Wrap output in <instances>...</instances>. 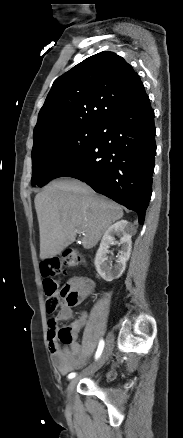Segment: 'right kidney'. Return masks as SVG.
<instances>
[{"mask_svg":"<svg viewBox=\"0 0 183 438\" xmlns=\"http://www.w3.org/2000/svg\"><path fill=\"white\" fill-rule=\"evenodd\" d=\"M135 232V227L127 220H120L110 226L101 240L100 247L95 256V267L98 274L107 282L119 278L126 268L131 249H132V234ZM114 235L120 238L119 255L115 264H112L111 258L108 260L109 245L115 242Z\"/></svg>","mask_w":183,"mask_h":438,"instance_id":"right-kidney-1","label":"right kidney"}]
</instances>
